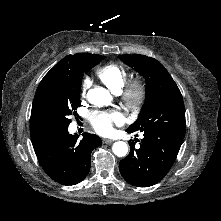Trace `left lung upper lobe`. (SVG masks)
Returning a JSON list of instances; mask_svg holds the SVG:
<instances>
[{"label":"left lung upper lobe","instance_id":"left-lung-upper-lobe-1","mask_svg":"<svg viewBox=\"0 0 221 221\" xmlns=\"http://www.w3.org/2000/svg\"><path fill=\"white\" fill-rule=\"evenodd\" d=\"M146 80V102L138 119L128 127L132 131L185 134V108L181 92L165 67L145 55H119Z\"/></svg>","mask_w":221,"mask_h":221}]
</instances>
